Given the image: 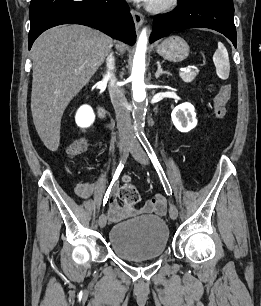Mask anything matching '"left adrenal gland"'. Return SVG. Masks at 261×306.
I'll return each instance as SVG.
<instances>
[{
  "label": "left adrenal gland",
  "mask_w": 261,
  "mask_h": 306,
  "mask_svg": "<svg viewBox=\"0 0 261 306\" xmlns=\"http://www.w3.org/2000/svg\"><path fill=\"white\" fill-rule=\"evenodd\" d=\"M163 74L171 75L168 71H163V69L161 68L160 62L158 61L157 62V72L155 73L156 79H158Z\"/></svg>",
  "instance_id": "a2214340"
}]
</instances>
